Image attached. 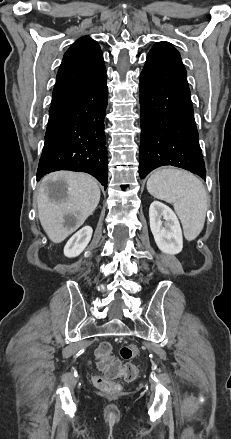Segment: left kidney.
Masks as SVG:
<instances>
[{"instance_id": "1", "label": "left kidney", "mask_w": 231, "mask_h": 439, "mask_svg": "<svg viewBox=\"0 0 231 439\" xmlns=\"http://www.w3.org/2000/svg\"><path fill=\"white\" fill-rule=\"evenodd\" d=\"M149 218L150 229L158 248L165 254L180 253L183 248L182 230L171 208L159 201H153L149 208Z\"/></svg>"}]
</instances>
